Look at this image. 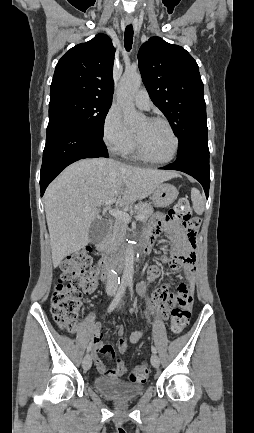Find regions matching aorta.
Listing matches in <instances>:
<instances>
[{"label":"aorta","instance_id":"obj_1","mask_svg":"<svg viewBox=\"0 0 254 433\" xmlns=\"http://www.w3.org/2000/svg\"><path fill=\"white\" fill-rule=\"evenodd\" d=\"M142 79L138 72H125L120 83L117 102L122 109L124 122L128 126L137 125L144 115L138 112L133 103L135 92L139 89ZM134 251L132 246L126 250L124 260V270L122 275L123 282H131L134 274Z\"/></svg>","mask_w":254,"mask_h":433}]
</instances>
